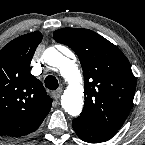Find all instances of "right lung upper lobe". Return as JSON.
Masks as SVG:
<instances>
[{
	"mask_svg": "<svg viewBox=\"0 0 145 145\" xmlns=\"http://www.w3.org/2000/svg\"><path fill=\"white\" fill-rule=\"evenodd\" d=\"M42 40L40 32L22 35L0 50V135L21 137L36 131L52 99L31 75L30 63Z\"/></svg>",
	"mask_w": 145,
	"mask_h": 145,
	"instance_id": "cb5924a9",
	"label": "right lung upper lobe"
}]
</instances>
